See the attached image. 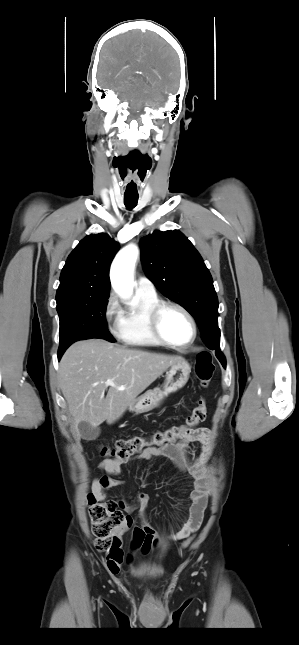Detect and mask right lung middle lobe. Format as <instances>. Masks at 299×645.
<instances>
[{
  "mask_svg": "<svg viewBox=\"0 0 299 645\" xmlns=\"http://www.w3.org/2000/svg\"><path fill=\"white\" fill-rule=\"evenodd\" d=\"M109 294L101 296L72 297L57 304L60 318V346L58 353L75 341L89 338L115 340L106 325L105 311Z\"/></svg>",
  "mask_w": 299,
  "mask_h": 645,
  "instance_id": "1",
  "label": "right lung middle lobe"
}]
</instances>
